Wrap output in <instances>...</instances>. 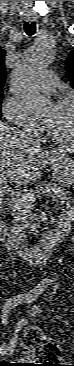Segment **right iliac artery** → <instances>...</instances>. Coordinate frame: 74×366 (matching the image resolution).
Here are the masks:
<instances>
[{
  "label": "right iliac artery",
  "mask_w": 74,
  "mask_h": 366,
  "mask_svg": "<svg viewBox=\"0 0 74 366\" xmlns=\"http://www.w3.org/2000/svg\"><path fill=\"white\" fill-rule=\"evenodd\" d=\"M28 298L24 295H17V296H14L12 299H10L4 306L3 308V312H2V322L4 325H7V317H8V313L9 311L17 306L18 304L24 302V301H27Z\"/></svg>",
  "instance_id": "obj_1"
}]
</instances>
